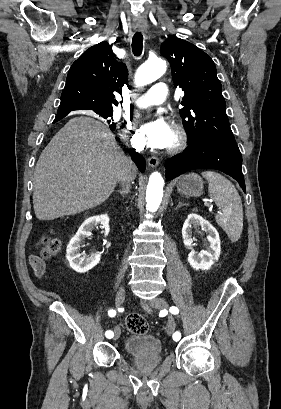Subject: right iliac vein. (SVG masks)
Returning <instances> with one entry per match:
<instances>
[{
	"label": "right iliac vein",
	"mask_w": 281,
	"mask_h": 409,
	"mask_svg": "<svg viewBox=\"0 0 281 409\" xmlns=\"http://www.w3.org/2000/svg\"><path fill=\"white\" fill-rule=\"evenodd\" d=\"M125 294H126L125 288L120 287L119 290L117 291L116 298H115V304L117 308H119L124 303ZM114 333L115 334H114L113 340H117L121 334V330L118 326L115 327Z\"/></svg>",
	"instance_id": "63e3f726"
}]
</instances>
